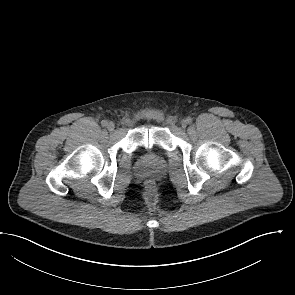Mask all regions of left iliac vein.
Here are the masks:
<instances>
[{"label": "left iliac vein", "mask_w": 295, "mask_h": 295, "mask_svg": "<svg viewBox=\"0 0 295 295\" xmlns=\"http://www.w3.org/2000/svg\"><path fill=\"white\" fill-rule=\"evenodd\" d=\"M181 125L183 128H185L188 125L187 120H182Z\"/></svg>", "instance_id": "4c4485c4"}]
</instances>
